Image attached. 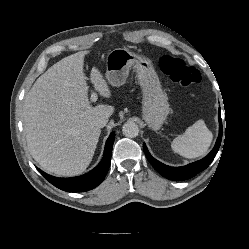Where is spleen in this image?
<instances>
[{"label": "spleen", "instance_id": "obj_1", "mask_svg": "<svg viewBox=\"0 0 249 249\" xmlns=\"http://www.w3.org/2000/svg\"><path fill=\"white\" fill-rule=\"evenodd\" d=\"M212 132L204 120H198L188 127L184 134L176 137L171 144L172 150L185 158L204 156L211 145Z\"/></svg>", "mask_w": 249, "mask_h": 249}]
</instances>
